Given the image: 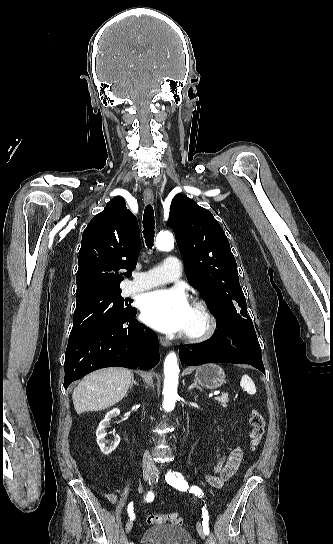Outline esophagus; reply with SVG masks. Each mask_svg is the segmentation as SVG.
Here are the masks:
<instances>
[{"label":"esophagus","instance_id":"34e87169","mask_svg":"<svg viewBox=\"0 0 333 544\" xmlns=\"http://www.w3.org/2000/svg\"><path fill=\"white\" fill-rule=\"evenodd\" d=\"M143 196H144L145 203H147V204L153 203L154 194H153V191L151 189H145L144 193H143ZM159 341H160L161 345H163L165 347L171 345V342L168 339L164 338V337H160Z\"/></svg>","mask_w":333,"mask_h":544}]
</instances>
